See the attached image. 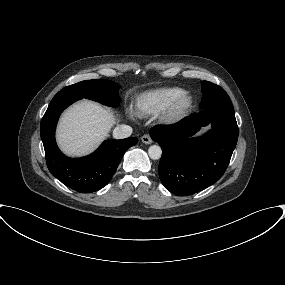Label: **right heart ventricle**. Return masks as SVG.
I'll return each mask as SVG.
<instances>
[{
	"mask_svg": "<svg viewBox=\"0 0 285 285\" xmlns=\"http://www.w3.org/2000/svg\"><path fill=\"white\" fill-rule=\"evenodd\" d=\"M183 93L185 90L180 87H163L144 92L134 101L135 112L140 116L159 114Z\"/></svg>",
	"mask_w": 285,
	"mask_h": 285,
	"instance_id": "1",
	"label": "right heart ventricle"
}]
</instances>
